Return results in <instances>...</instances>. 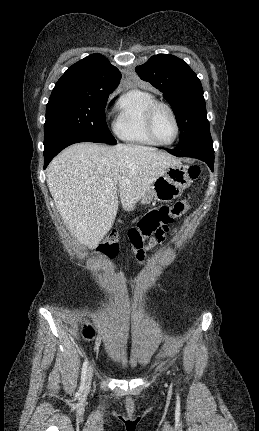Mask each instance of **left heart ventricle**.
I'll return each instance as SVG.
<instances>
[{
	"label": "left heart ventricle",
	"mask_w": 259,
	"mask_h": 431,
	"mask_svg": "<svg viewBox=\"0 0 259 431\" xmlns=\"http://www.w3.org/2000/svg\"><path fill=\"white\" fill-rule=\"evenodd\" d=\"M154 132L157 139L161 142H169L175 134V125L170 113L159 108L154 117Z\"/></svg>",
	"instance_id": "left-heart-ventricle-1"
}]
</instances>
